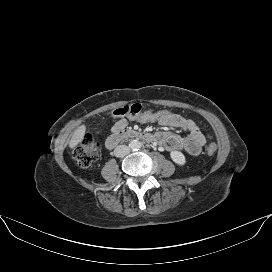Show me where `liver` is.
Returning <instances> with one entry per match:
<instances>
[{
	"label": "liver",
	"mask_w": 272,
	"mask_h": 272,
	"mask_svg": "<svg viewBox=\"0 0 272 272\" xmlns=\"http://www.w3.org/2000/svg\"><path fill=\"white\" fill-rule=\"evenodd\" d=\"M86 131L85 125H80L73 133L71 140L69 142V147L71 149L75 148L84 138Z\"/></svg>",
	"instance_id": "1"
}]
</instances>
